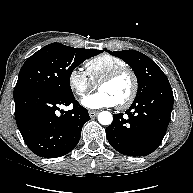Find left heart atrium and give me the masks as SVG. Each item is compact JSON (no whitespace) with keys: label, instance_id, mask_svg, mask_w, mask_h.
Returning <instances> with one entry per match:
<instances>
[{"label":"left heart atrium","instance_id":"obj_1","mask_svg":"<svg viewBox=\"0 0 193 193\" xmlns=\"http://www.w3.org/2000/svg\"><path fill=\"white\" fill-rule=\"evenodd\" d=\"M81 104L89 109L109 108L117 105L108 93L100 90L83 98Z\"/></svg>","mask_w":193,"mask_h":193}]
</instances>
